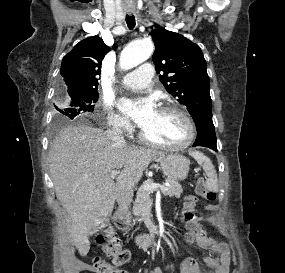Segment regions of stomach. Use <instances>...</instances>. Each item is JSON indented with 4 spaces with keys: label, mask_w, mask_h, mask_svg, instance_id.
<instances>
[{
    "label": "stomach",
    "mask_w": 285,
    "mask_h": 273,
    "mask_svg": "<svg viewBox=\"0 0 285 273\" xmlns=\"http://www.w3.org/2000/svg\"><path fill=\"white\" fill-rule=\"evenodd\" d=\"M163 173L172 180H184L189 172V160L179 154H169L159 160Z\"/></svg>",
    "instance_id": "0dacf381"
}]
</instances>
